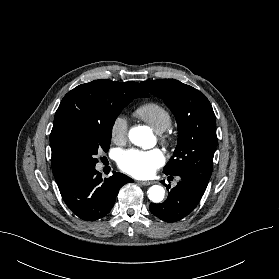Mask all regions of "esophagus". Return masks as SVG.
<instances>
[{"mask_svg":"<svg viewBox=\"0 0 279 279\" xmlns=\"http://www.w3.org/2000/svg\"><path fill=\"white\" fill-rule=\"evenodd\" d=\"M139 183L142 185L148 186V185L153 184L154 182L153 181H140Z\"/></svg>","mask_w":279,"mask_h":279,"instance_id":"1","label":"esophagus"}]
</instances>
